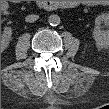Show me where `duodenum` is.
Masks as SVG:
<instances>
[{
	"label": "duodenum",
	"instance_id": "410a0bca",
	"mask_svg": "<svg viewBox=\"0 0 109 109\" xmlns=\"http://www.w3.org/2000/svg\"><path fill=\"white\" fill-rule=\"evenodd\" d=\"M37 7L39 9H47V8H56L58 7L54 2L52 1H38L36 3Z\"/></svg>",
	"mask_w": 109,
	"mask_h": 109
}]
</instances>
